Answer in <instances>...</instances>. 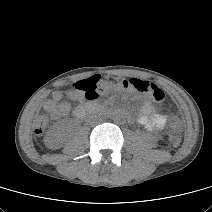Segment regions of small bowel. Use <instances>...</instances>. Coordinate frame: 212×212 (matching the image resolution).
<instances>
[{
	"instance_id": "1",
	"label": "small bowel",
	"mask_w": 212,
	"mask_h": 212,
	"mask_svg": "<svg viewBox=\"0 0 212 212\" xmlns=\"http://www.w3.org/2000/svg\"><path fill=\"white\" fill-rule=\"evenodd\" d=\"M63 93L56 91L44 103V109L49 112L53 119H59L67 115L70 111V104L61 101ZM74 100L80 101L82 96L78 93H71ZM138 122L148 130H161L167 123V116L157 112L155 106L150 101H145Z\"/></svg>"
}]
</instances>
